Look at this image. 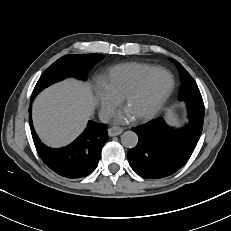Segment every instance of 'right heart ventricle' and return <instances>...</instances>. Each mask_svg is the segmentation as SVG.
Masks as SVG:
<instances>
[{
  "instance_id": "e07e8e85",
  "label": "right heart ventricle",
  "mask_w": 231,
  "mask_h": 231,
  "mask_svg": "<svg viewBox=\"0 0 231 231\" xmlns=\"http://www.w3.org/2000/svg\"><path fill=\"white\" fill-rule=\"evenodd\" d=\"M158 69L155 65L145 63L119 64L110 68L102 81L113 95L121 99L141 79Z\"/></svg>"
}]
</instances>
